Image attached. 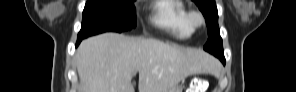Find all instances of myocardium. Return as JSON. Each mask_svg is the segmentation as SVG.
Wrapping results in <instances>:
<instances>
[{"label":"myocardium","mask_w":296,"mask_h":92,"mask_svg":"<svg viewBox=\"0 0 296 92\" xmlns=\"http://www.w3.org/2000/svg\"><path fill=\"white\" fill-rule=\"evenodd\" d=\"M188 21L193 30L200 28L204 24V17L198 11H190Z\"/></svg>","instance_id":"1"}]
</instances>
